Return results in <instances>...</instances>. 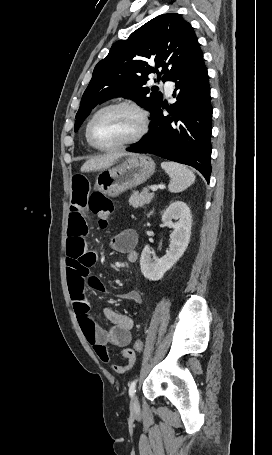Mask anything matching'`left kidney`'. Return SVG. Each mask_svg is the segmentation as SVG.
I'll return each mask as SVG.
<instances>
[{
	"instance_id": "left-kidney-1",
	"label": "left kidney",
	"mask_w": 272,
	"mask_h": 455,
	"mask_svg": "<svg viewBox=\"0 0 272 455\" xmlns=\"http://www.w3.org/2000/svg\"><path fill=\"white\" fill-rule=\"evenodd\" d=\"M172 219L177 220V223H173ZM162 222L173 229L170 234L169 251L162 258H158L153 256L149 246L146 245L140 258L141 272L151 281L160 280L165 272L182 257L188 246L192 225L188 205L182 201L171 203L162 215Z\"/></svg>"
}]
</instances>
